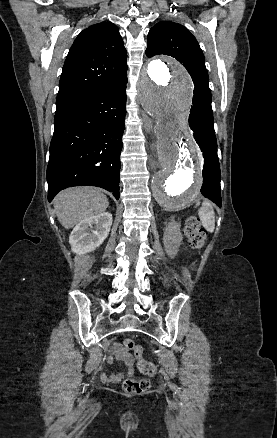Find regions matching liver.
<instances>
[{"label":"liver","instance_id":"obj_1","mask_svg":"<svg viewBox=\"0 0 277 438\" xmlns=\"http://www.w3.org/2000/svg\"><path fill=\"white\" fill-rule=\"evenodd\" d=\"M108 206L109 200L99 188H67L59 192L54 200L55 214L66 230L85 218L105 212Z\"/></svg>","mask_w":277,"mask_h":438}]
</instances>
